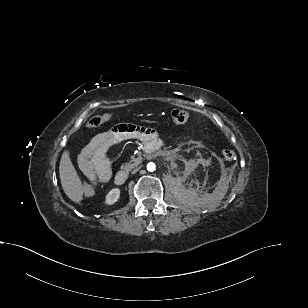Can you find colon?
Segmentation results:
<instances>
[{"mask_svg":"<svg viewBox=\"0 0 308 308\" xmlns=\"http://www.w3.org/2000/svg\"><path fill=\"white\" fill-rule=\"evenodd\" d=\"M188 117H189L188 112L183 108H174L171 111V119H172L173 123H175L177 125H182V124L186 123L187 120H188ZM110 119H111L110 114L96 115L88 121L87 126L89 128H95V127H98V126L108 122ZM223 157L227 161H232L236 158V153L231 149H225L223 151ZM95 192H96L95 186L91 182L86 183L84 185L83 195L86 198H92L95 195Z\"/></svg>","mask_w":308,"mask_h":308,"instance_id":"colon-1","label":"colon"}]
</instances>
